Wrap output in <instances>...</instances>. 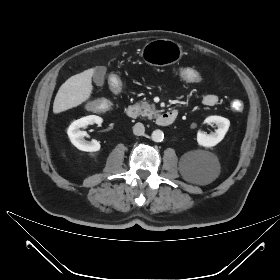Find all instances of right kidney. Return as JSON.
<instances>
[{"instance_id": "1", "label": "right kidney", "mask_w": 280, "mask_h": 280, "mask_svg": "<svg viewBox=\"0 0 280 280\" xmlns=\"http://www.w3.org/2000/svg\"><path fill=\"white\" fill-rule=\"evenodd\" d=\"M94 123L101 124L102 118L96 115H89L75 120L69 126L67 134L71 143L79 150L86 152H96L100 150V143L97 140H92L91 142L86 141L84 139L86 132L80 130V128L93 125Z\"/></svg>"}]
</instances>
